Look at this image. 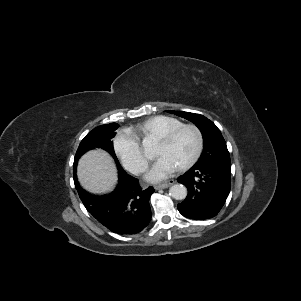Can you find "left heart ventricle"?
<instances>
[{
    "label": "left heart ventricle",
    "mask_w": 301,
    "mask_h": 301,
    "mask_svg": "<svg viewBox=\"0 0 301 301\" xmlns=\"http://www.w3.org/2000/svg\"><path fill=\"white\" fill-rule=\"evenodd\" d=\"M195 148L196 136L194 132L191 129H185L169 143L157 141L155 155L167 157L181 166L193 155Z\"/></svg>",
    "instance_id": "obj_1"
}]
</instances>
